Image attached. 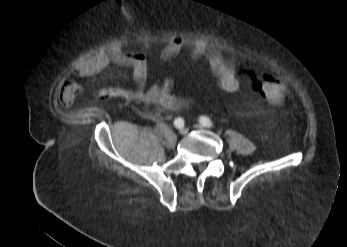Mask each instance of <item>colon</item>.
Returning <instances> with one entry per match:
<instances>
[{
    "label": "colon",
    "mask_w": 347,
    "mask_h": 247,
    "mask_svg": "<svg viewBox=\"0 0 347 247\" xmlns=\"http://www.w3.org/2000/svg\"><path fill=\"white\" fill-rule=\"evenodd\" d=\"M258 90L262 93V99L273 105L281 104L287 96L286 86L280 81L278 75L270 69L262 70L257 75ZM113 93L106 92L102 98L115 97Z\"/></svg>",
    "instance_id": "obj_1"
}]
</instances>
